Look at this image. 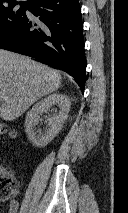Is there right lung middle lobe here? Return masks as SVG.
<instances>
[{
	"label": "right lung middle lobe",
	"instance_id": "obj_1",
	"mask_svg": "<svg viewBox=\"0 0 128 213\" xmlns=\"http://www.w3.org/2000/svg\"><path fill=\"white\" fill-rule=\"evenodd\" d=\"M16 4L0 6V41L11 34L25 20V10L27 5H20V9H15Z\"/></svg>",
	"mask_w": 128,
	"mask_h": 213
}]
</instances>
